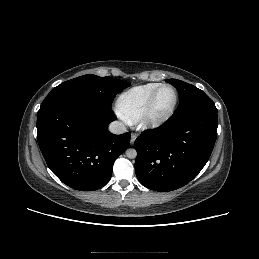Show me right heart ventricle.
<instances>
[{"label": "right heart ventricle", "instance_id": "right-heart-ventricle-1", "mask_svg": "<svg viewBox=\"0 0 259 259\" xmlns=\"http://www.w3.org/2000/svg\"><path fill=\"white\" fill-rule=\"evenodd\" d=\"M160 85V83H147L123 92L116 102L119 115L130 123L139 120L151 95Z\"/></svg>", "mask_w": 259, "mask_h": 259}]
</instances>
